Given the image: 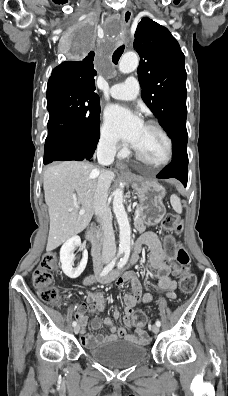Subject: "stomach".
<instances>
[{"instance_id":"1","label":"stomach","mask_w":228,"mask_h":396,"mask_svg":"<svg viewBox=\"0 0 228 396\" xmlns=\"http://www.w3.org/2000/svg\"><path fill=\"white\" fill-rule=\"evenodd\" d=\"M132 187L139 198L137 213L143 223L148 226L157 224L165 215L166 208L163 204L165 189L153 180H142L137 177L130 178Z\"/></svg>"}]
</instances>
